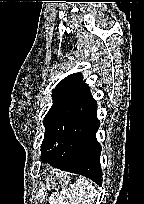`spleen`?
<instances>
[{"instance_id":"1","label":"spleen","mask_w":144,"mask_h":204,"mask_svg":"<svg viewBox=\"0 0 144 204\" xmlns=\"http://www.w3.org/2000/svg\"><path fill=\"white\" fill-rule=\"evenodd\" d=\"M96 190L92 182L78 179L76 184L50 197V204H92Z\"/></svg>"}]
</instances>
